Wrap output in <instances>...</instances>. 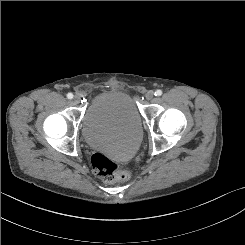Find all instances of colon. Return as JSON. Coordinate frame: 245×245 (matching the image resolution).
Here are the masks:
<instances>
[{
    "instance_id": "colon-1",
    "label": "colon",
    "mask_w": 245,
    "mask_h": 245,
    "mask_svg": "<svg viewBox=\"0 0 245 245\" xmlns=\"http://www.w3.org/2000/svg\"><path fill=\"white\" fill-rule=\"evenodd\" d=\"M95 174L106 182L127 181L130 174L107 156L96 153L91 158Z\"/></svg>"
}]
</instances>
